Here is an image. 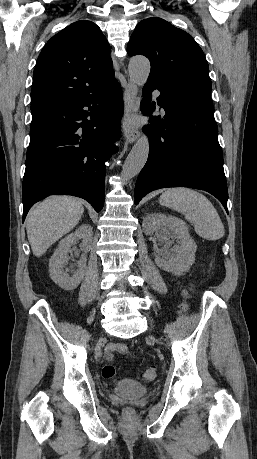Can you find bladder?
I'll use <instances>...</instances> for the list:
<instances>
[{
  "label": "bladder",
  "instance_id": "1",
  "mask_svg": "<svg viewBox=\"0 0 257 459\" xmlns=\"http://www.w3.org/2000/svg\"><path fill=\"white\" fill-rule=\"evenodd\" d=\"M148 388L130 380H124L117 384L114 388V393L119 396L138 398L147 395Z\"/></svg>",
  "mask_w": 257,
  "mask_h": 459
}]
</instances>
